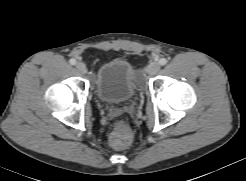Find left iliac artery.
Masks as SVG:
<instances>
[{
  "mask_svg": "<svg viewBox=\"0 0 246 181\" xmlns=\"http://www.w3.org/2000/svg\"><path fill=\"white\" fill-rule=\"evenodd\" d=\"M167 62H168V60L166 59V58H161L160 60H159V64L160 65H166L167 64Z\"/></svg>",
  "mask_w": 246,
  "mask_h": 181,
  "instance_id": "left-iliac-artery-1",
  "label": "left iliac artery"
}]
</instances>
